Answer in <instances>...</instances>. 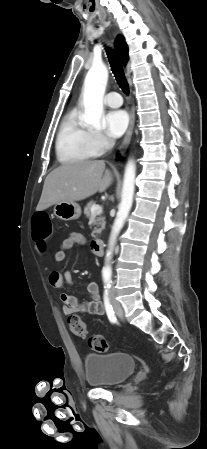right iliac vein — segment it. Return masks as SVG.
Segmentation results:
<instances>
[{
  "mask_svg": "<svg viewBox=\"0 0 207 449\" xmlns=\"http://www.w3.org/2000/svg\"><path fill=\"white\" fill-rule=\"evenodd\" d=\"M113 305H114L117 315L120 317H123V310H122V307L120 306V304L114 301Z\"/></svg>",
  "mask_w": 207,
  "mask_h": 449,
  "instance_id": "1",
  "label": "right iliac vein"
}]
</instances>
